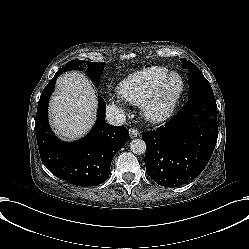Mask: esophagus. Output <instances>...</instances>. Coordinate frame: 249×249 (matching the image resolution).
Here are the masks:
<instances>
[{"instance_id": "obj_1", "label": "esophagus", "mask_w": 249, "mask_h": 249, "mask_svg": "<svg viewBox=\"0 0 249 249\" xmlns=\"http://www.w3.org/2000/svg\"><path fill=\"white\" fill-rule=\"evenodd\" d=\"M129 133H130L131 138H135V137L139 136V131L133 127H131L129 129Z\"/></svg>"}]
</instances>
